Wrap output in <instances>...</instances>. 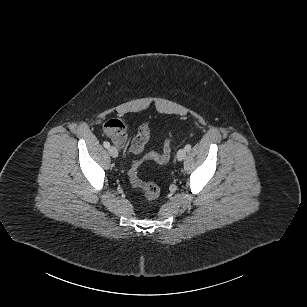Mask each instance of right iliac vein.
<instances>
[{
  "label": "right iliac vein",
  "mask_w": 307,
  "mask_h": 307,
  "mask_svg": "<svg viewBox=\"0 0 307 307\" xmlns=\"http://www.w3.org/2000/svg\"><path fill=\"white\" fill-rule=\"evenodd\" d=\"M108 152L113 158H116L118 156V150L114 146H110L108 148Z\"/></svg>",
  "instance_id": "1"
}]
</instances>
